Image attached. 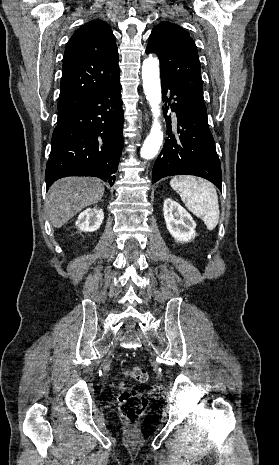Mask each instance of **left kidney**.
<instances>
[{"label": "left kidney", "mask_w": 279, "mask_h": 465, "mask_svg": "<svg viewBox=\"0 0 279 465\" xmlns=\"http://www.w3.org/2000/svg\"><path fill=\"white\" fill-rule=\"evenodd\" d=\"M163 211L167 229L177 242H189L195 237L196 223L179 203L167 198L164 200Z\"/></svg>", "instance_id": "1"}]
</instances>
